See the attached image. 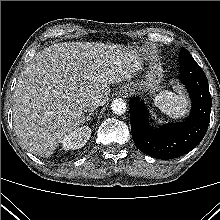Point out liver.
<instances>
[{"instance_id": "6515ba94", "label": "liver", "mask_w": 220, "mask_h": 220, "mask_svg": "<svg viewBox=\"0 0 220 220\" xmlns=\"http://www.w3.org/2000/svg\"><path fill=\"white\" fill-rule=\"evenodd\" d=\"M140 65L137 50L118 44L57 43L25 65L13 95L14 129L31 153L48 158L84 123L83 104L104 105L110 84L130 80Z\"/></svg>"}]
</instances>
